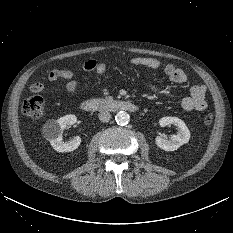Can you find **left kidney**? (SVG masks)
Listing matches in <instances>:
<instances>
[{
	"instance_id": "left-kidney-1",
	"label": "left kidney",
	"mask_w": 233,
	"mask_h": 233,
	"mask_svg": "<svg viewBox=\"0 0 233 233\" xmlns=\"http://www.w3.org/2000/svg\"><path fill=\"white\" fill-rule=\"evenodd\" d=\"M159 124L161 127L175 125L178 129L177 135H173L169 140L162 138L161 136H157L155 143L159 148L165 151H175L183 144L189 142L190 131L181 119L177 117H163L159 120Z\"/></svg>"
}]
</instances>
